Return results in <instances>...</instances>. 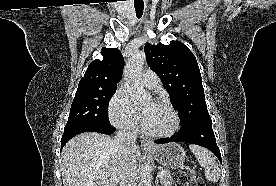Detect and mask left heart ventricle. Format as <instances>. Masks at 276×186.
Segmentation results:
<instances>
[{"label":"left heart ventricle","instance_id":"1","mask_svg":"<svg viewBox=\"0 0 276 186\" xmlns=\"http://www.w3.org/2000/svg\"><path fill=\"white\" fill-rule=\"evenodd\" d=\"M141 110L148 115L144 124L150 131L165 132L172 128L174 116L166 106L149 102Z\"/></svg>","mask_w":276,"mask_h":186}]
</instances>
